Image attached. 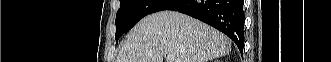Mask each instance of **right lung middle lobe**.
I'll use <instances>...</instances> for the list:
<instances>
[{"label":"right lung middle lobe","instance_id":"right-lung-middle-lobe-1","mask_svg":"<svg viewBox=\"0 0 331 62\" xmlns=\"http://www.w3.org/2000/svg\"><path fill=\"white\" fill-rule=\"evenodd\" d=\"M175 0H120L115 24L117 27L115 39H118L131 29L140 19L148 14L163 10Z\"/></svg>","mask_w":331,"mask_h":62}]
</instances>
